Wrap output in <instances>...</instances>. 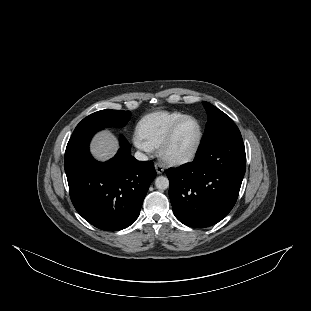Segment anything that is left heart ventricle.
Here are the masks:
<instances>
[{"mask_svg": "<svg viewBox=\"0 0 311 311\" xmlns=\"http://www.w3.org/2000/svg\"><path fill=\"white\" fill-rule=\"evenodd\" d=\"M198 137V125L194 120L185 122L177 132L169 155H184L195 146Z\"/></svg>", "mask_w": 311, "mask_h": 311, "instance_id": "left-heart-ventricle-1", "label": "left heart ventricle"}]
</instances>
